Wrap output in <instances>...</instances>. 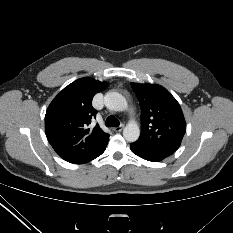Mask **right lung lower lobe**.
<instances>
[{
  "mask_svg": "<svg viewBox=\"0 0 233 233\" xmlns=\"http://www.w3.org/2000/svg\"><path fill=\"white\" fill-rule=\"evenodd\" d=\"M109 141V140H108ZM108 141L96 152L94 153L92 156H90L89 158L77 163V164H83V163H87L93 159H95L96 157L100 156L106 149V146L108 144Z\"/></svg>",
  "mask_w": 233,
  "mask_h": 233,
  "instance_id": "98d812e1",
  "label": "right lung lower lobe"
}]
</instances>
